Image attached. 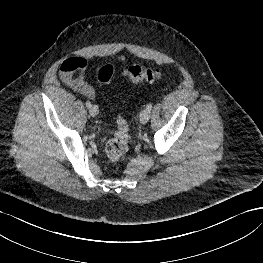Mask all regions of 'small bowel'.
<instances>
[{"label": "small bowel", "mask_w": 263, "mask_h": 263, "mask_svg": "<svg viewBox=\"0 0 263 263\" xmlns=\"http://www.w3.org/2000/svg\"><path fill=\"white\" fill-rule=\"evenodd\" d=\"M85 69L86 61L83 58H68L61 64L59 76L61 81L75 92L92 99L95 97V89L86 82Z\"/></svg>", "instance_id": "small-bowel-1"}]
</instances>
